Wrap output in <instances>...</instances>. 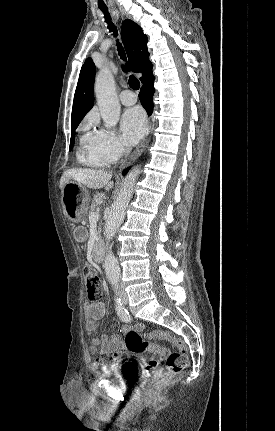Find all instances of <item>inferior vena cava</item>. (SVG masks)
Segmentation results:
<instances>
[{
	"label": "inferior vena cava",
	"instance_id": "602c4592",
	"mask_svg": "<svg viewBox=\"0 0 275 431\" xmlns=\"http://www.w3.org/2000/svg\"><path fill=\"white\" fill-rule=\"evenodd\" d=\"M126 152H129V150H128V149H126Z\"/></svg>",
	"mask_w": 275,
	"mask_h": 431
}]
</instances>
